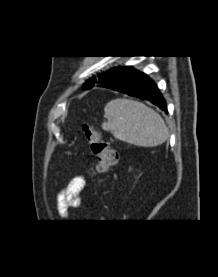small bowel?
<instances>
[{
  "mask_svg": "<svg viewBox=\"0 0 218 277\" xmlns=\"http://www.w3.org/2000/svg\"><path fill=\"white\" fill-rule=\"evenodd\" d=\"M83 176L72 178L69 183L60 191L57 196L58 211L62 216H66L68 209L77 207L81 202V192L85 187Z\"/></svg>",
  "mask_w": 218,
  "mask_h": 277,
  "instance_id": "1",
  "label": "small bowel"
}]
</instances>
